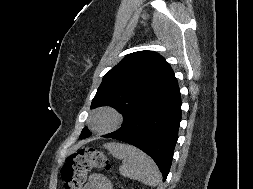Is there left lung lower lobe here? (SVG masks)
<instances>
[{
	"label": "left lung lower lobe",
	"mask_w": 253,
	"mask_h": 189,
	"mask_svg": "<svg viewBox=\"0 0 253 189\" xmlns=\"http://www.w3.org/2000/svg\"><path fill=\"white\" fill-rule=\"evenodd\" d=\"M181 121V95L176 83L159 99L134 114L120 129L103 137L132 144L158 165L163 181L169 173ZM90 133L80 135V139Z\"/></svg>",
	"instance_id": "obj_1"
}]
</instances>
